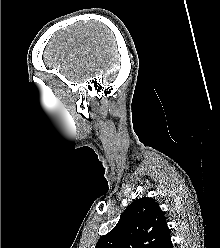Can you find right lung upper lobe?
<instances>
[{"label": "right lung upper lobe", "mask_w": 220, "mask_h": 248, "mask_svg": "<svg viewBox=\"0 0 220 248\" xmlns=\"http://www.w3.org/2000/svg\"><path fill=\"white\" fill-rule=\"evenodd\" d=\"M164 212L153 198L135 199L95 248H160L169 237Z\"/></svg>", "instance_id": "1"}]
</instances>
